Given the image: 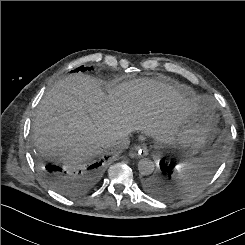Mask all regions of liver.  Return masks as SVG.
Segmentation results:
<instances>
[{"label":"liver","mask_w":245,"mask_h":245,"mask_svg":"<svg viewBox=\"0 0 245 245\" xmlns=\"http://www.w3.org/2000/svg\"><path fill=\"white\" fill-rule=\"evenodd\" d=\"M204 99L153 79H135L103 92L85 75H70L47 91L36 110L33 140L44 157L77 164L132 131L171 143L181 121Z\"/></svg>","instance_id":"6515ba94"}]
</instances>
